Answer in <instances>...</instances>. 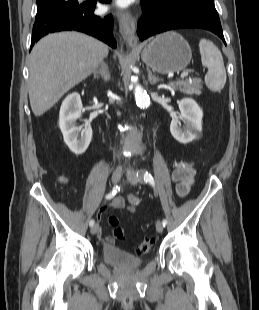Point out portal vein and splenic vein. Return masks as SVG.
Instances as JSON below:
<instances>
[{"instance_id": "portal-vein-and-splenic-vein-1", "label": "portal vein and splenic vein", "mask_w": 259, "mask_h": 310, "mask_svg": "<svg viewBox=\"0 0 259 310\" xmlns=\"http://www.w3.org/2000/svg\"><path fill=\"white\" fill-rule=\"evenodd\" d=\"M187 76H188V72L185 71V72H183V73L181 74L180 78H181V79H184V78L187 77Z\"/></svg>"}]
</instances>
